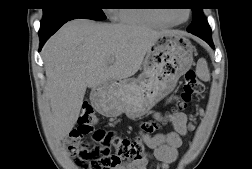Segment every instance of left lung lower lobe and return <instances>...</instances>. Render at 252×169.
I'll list each match as a JSON object with an SVG mask.
<instances>
[{
    "label": "left lung lower lobe",
    "mask_w": 252,
    "mask_h": 169,
    "mask_svg": "<svg viewBox=\"0 0 252 169\" xmlns=\"http://www.w3.org/2000/svg\"><path fill=\"white\" fill-rule=\"evenodd\" d=\"M188 32L202 38L203 40H205L206 42L209 43V45L214 49V44L212 42V36L211 34H209L208 32H199V31H191V30H187Z\"/></svg>",
    "instance_id": "0a47b994"
}]
</instances>
